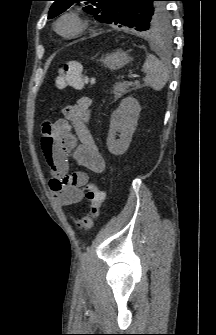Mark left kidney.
I'll return each mask as SVG.
<instances>
[{
    "instance_id": "1",
    "label": "left kidney",
    "mask_w": 216,
    "mask_h": 335,
    "mask_svg": "<svg viewBox=\"0 0 216 335\" xmlns=\"http://www.w3.org/2000/svg\"><path fill=\"white\" fill-rule=\"evenodd\" d=\"M140 112V104L135 98L127 97L121 101L110 120L107 147L111 154L119 156L127 151L136 130ZM117 132L120 133L118 140L115 139Z\"/></svg>"
}]
</instances>
